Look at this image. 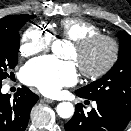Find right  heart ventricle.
I'll return each mask as SVG.
<instances>
[{
    "mask_svg": "<svg viewBox=\"0 0 131 131\" xmlns=\"http://www.w3.org/2000/svg\"><path fill=\"white\" fill-rule=\"evenodd\" d=\"M57 33L75 42L85 36L100 33V28L83 18H66L59 23Z\"/></svg>",
    "mask_w": 131,
    "mask_h": 131,
    "instance_id": "1",
    "label": "right heart ventricle"
}]
</instances>
